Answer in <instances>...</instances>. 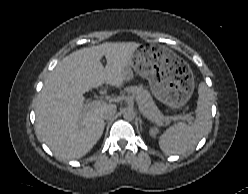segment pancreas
Returning a JSON list of instances; mask_svg holds the SVG:
<instances>
[{"mask_svg": "<svg viewBox=\"0 0 248 194\" xmlns=\"http://www.w3.org/2000/svg\"><path fill=\"white\" fill-rule=\"evenodd\" d=\"M126 92L136 98L137 102L143 107L146 117L159 125L164 122L169 123L170 118L165 117L157 108L151 94L142 86H130L125 89Z\"/></svg>", "mask_w": 248, "mask_h": 194, "instance_id": "cf45deb5", "label": "pancreas"}]
</instances>
